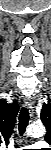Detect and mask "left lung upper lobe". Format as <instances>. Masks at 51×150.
Returning <instances> with one entry per match:
<instances>
[{
  "instance_id": "obj_1",
  "label": "left lung upper lobe",
  "mask_w": 51,
  "mask_h": 150,
  "mask_svg": "<svg viewBox=\"0 0 51 150\" xmlns=\"http://www.w3.org/2000/svg\"><path fill=\"white\" fill-rule=\"evenodd\" d=\"M41 120L47 129L45 140L51 142V103L44 104L41 110Z\"/></svg>"
}]
</instances>
